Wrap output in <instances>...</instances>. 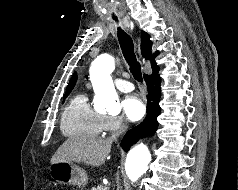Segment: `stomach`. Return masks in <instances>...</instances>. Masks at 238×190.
<instances>
[{"mask_svg": "<svg viewBox=\"0 0 238 190\" xmlns=\"http://www.w3.org/2000/svg\"><path fill=\"white\" fill-rule=\"evenodd\" d=\"M50 175L59 184L85 187L88 184V176L84 169L68 162L51 164Z\"/></svg>", "mask_w": 238, "mask_h": 190, "instance_id": "obj_1", "label": "stomach"}]
</instances>
